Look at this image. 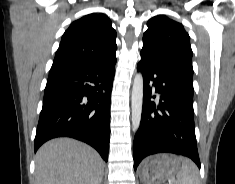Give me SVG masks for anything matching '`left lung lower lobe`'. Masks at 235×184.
I'll use <instances>...</instances> for the list:
<instances>
[{
	"label": "left lung lower lobe",
	"instance_id": "0a47b994",
	"mask_svg": "<svg viewBox=\"0 0 235 184\" xmlns=\"http://www.w3.org/2000/svg\"><path fill=\"white\" fill-rule=\"evenodd\" d=\"M137 70L144 96L140 127L133 144L134 170L146 156L174 153L191 158L200 168L195 136L193 86L173 67L141 50ZM152 92L160 94L158 105Z\"/></svg>",
	"mask_w": 235,
	"mask_h": 184
}]
</instances>
